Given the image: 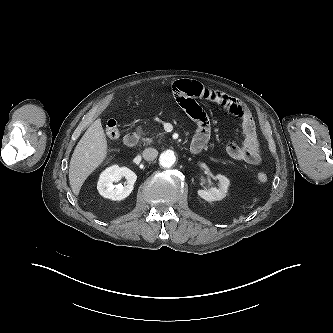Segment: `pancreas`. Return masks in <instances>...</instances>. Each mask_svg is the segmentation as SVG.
I'll return each instance as SVG.
<instances>
[{
  "label": "pancreas",
  "mask_w": 333,
  "mask_h": 333,
  "mask_svg": "<svg viewBox=\"0 0 333 333\" xmlns=\"http://www.w3.org/2000/svg\"><path fill=\"white\" fill-rule=\"evenodd\" d=\"M137 132L138 133H141V134H144L143 133V131H142V129H141V127H138L137 128ZM159 135H161L160 133L159 134H157L156 136H152L151 138H142V141L144 142V143H146L147 145H150L152 142H153V139L155 138V137H157V136H159Z\"/></svg>",
  "instance_id": "obj_1"
}]
</instances>
